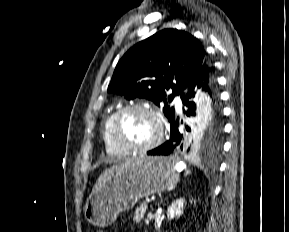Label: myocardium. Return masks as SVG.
<instances>
[{
	"instance_id": "myocardium-1",
	"label": "myocardium",
	"mask_w": 289,
	"mask_h": 232,
	"mask_svg": "<svg viewBox=\"0 0 289 232\" xmlns=\"http://www.w3.org/2000/svg\"><path fill=\"white\" fill-rule=\"evenodd\" d=\"M130 111H143L147 114H149L154 121L156 122L157 125V135L156 137L147 145L144 146H132L129 144L124 143L120 137H119V123L121 118L123 117L124 114ZM111 137L115 145L123 150L124 152L128 154H144L147 152L152 151L153 149L157 148L163 141L164 139V134H165V128L163 121L159 115V113L151 106L145 105V104H130L126 105L120 109H118L112 119L111 123Z\"/></svg>"
}]
</instances>
